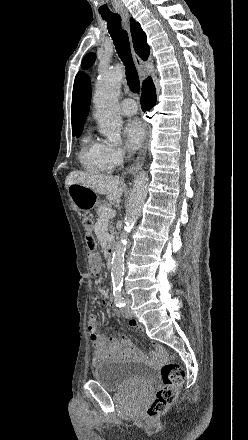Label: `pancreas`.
I'll list each match as a JSON object with an SVG mask.
<instances>
[{
  "label": "pancreas",
  "instance_id": "cf45deb5",
  "mask_svg": "<svg viewBox=\"0 0 248 440\" xmlns=\"http://www.w3.org/2000/svg\"><path fill=\"white\" fill-rule=\"evenodd\" d=\"M109 208V204L107 202H103V204L99 205L98 208L96 209L97 215L100 218L101 212L103 209ZM109 231L111 233L114 232V229L112 227V225L109 226Z\"/></svg>",
  "mask_w": 248,
  "mask_h": 440
}]
</instances>
